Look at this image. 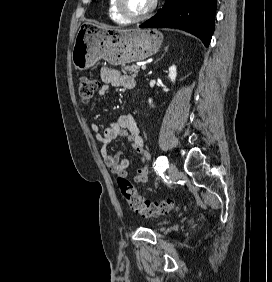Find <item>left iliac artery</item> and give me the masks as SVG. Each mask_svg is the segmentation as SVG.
I'll list each match as a JSON object with an SVG mask.
<instances>
[{"label": "left iliac artery", "instance_id": "44dca946", "mask_svg": "<svg viewBox=\"0 0 272 282\" xmlns=\"http://www.w3.org/2000/svg\"><path fill=\"white\" fill-rule=\"evenodd\" d=\"M169 167L167 157L166 156H161L158 157L156 162H155V169L159 173H163L167 168Z\"/></svg>", "mask_w": 272, "mask_h": 282}]
</instances>
